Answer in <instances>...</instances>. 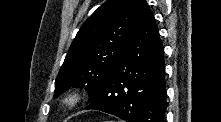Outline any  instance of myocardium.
<instances>
[{
	"mask_svg": "<svg viewBox=\"0 0 221 122\" xmlns=\"http://www.w3.org/2000/svg\"><path fill=\"white\" fill-rule=\"evenodd\" d=\"M82 97V93L79 90H70L63 95L60 104L64 108L72 109L81 102Z\"/></svg>",
	"mask_w": 221,
	"mask_h": 122,
	"instance_id": "myocardium-1",
	"label": "myocardium"
}]
</instances>
